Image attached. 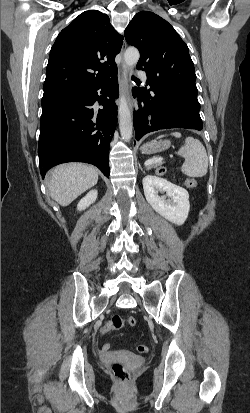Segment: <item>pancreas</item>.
<instances>
[{"instance_id": "1", "label": "pancreas", "mask_w": 250, "mask_h": 413, "mask_svg": "<svg viewBox=\"0 0 250 413\" xmlns=\"http://www.w3.org/2000/svg\"><path fill=\"white\" fill-rule=\"evenodd\" d=\"M158 165L159 163H152L151 165L148 166V168L157 167Z\"/></svg>"}]
</instances>
